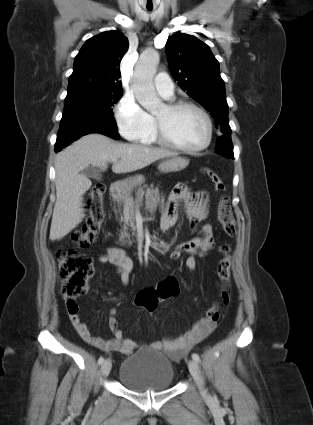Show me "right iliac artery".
Instances as JSON below:
<instances>
[{"instance_id":"obj_1","label":"right iliac artery","mask_w":313,"mask_h":425,"mask_svg":"<svg viewBox=\"0 0 313 425\" xmlns=\"http://www.w3.org/2000/svg\"><path fill=\"white\" fill-rule=\"evenodd\" d=\"M103 362H104V357H100L99 359H98V364L99 365H101V364H103Z\"/></svg>"}]
</instances>
